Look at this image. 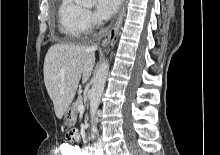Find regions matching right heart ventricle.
<instances>
[{"label": "right heart ventricle", "instance_id": "1", "mask_svg": "<svg viewBox=\"0 0 220 155\" xmlns=\"http://www.w3.org/2000/svg\"><path fill=\"white\" fill-rule=\"evenodd\" d=\"M57 17L60 32L69 40H78L87 32L85 9L75 0H60Z\"/></svg>", "mask_w": 220, "mask_h": 155}]
</instances>
